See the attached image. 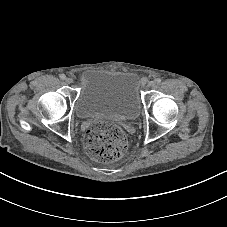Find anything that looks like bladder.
Returning <instances> with one entry per match:
<instances>
[{"label":"bladder","instance_id":"bladder-1","mask_svg":"<svg viewBox=\"0 0 227 227\" xmlns=\"http://www.w3.org/2000/svg\"><path fill=\"white\" fill-rule=\"evenodd\" d=\"M73 110L84 121L106 117L134 122L142 110L138 78L132 72H92L83 78Z\"/></svg>","mask_w":227,"mask_h":227}]
</instances>
